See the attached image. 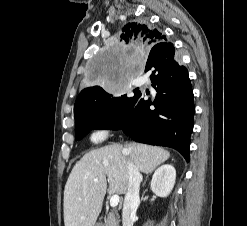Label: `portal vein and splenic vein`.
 Returning <instances> with one entry per match:
<instances>
[{
    "label": "portal vein and splenic vein",
    "instance_id": "portal-vein-and-splenic-vein-1",
    "mask_svg": "<svg viewBox=\"0 0 247 226\" xmlns=\"http://www.w3.org/2000/svg\"><path fill=\"white\" fill-rule=\"evenodd\" d=\"M94 182L97 183L98 182V179H95ZM119 200H120L119 195H117V194L113 195L110 198V206L111 207H116L118 205V203H119Z\"/></svg>",
    "mask_w": 247,
    "mask_h": 226
}]
</instances>
